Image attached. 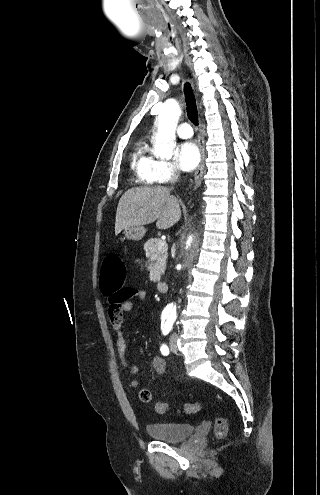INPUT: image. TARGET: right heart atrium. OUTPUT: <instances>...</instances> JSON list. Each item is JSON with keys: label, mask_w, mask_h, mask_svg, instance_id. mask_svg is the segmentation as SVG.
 <instances>
[{"label": "right heart atrium", "mask_w": 320, "mask_h": 495, "mask_svg": "<svg viewBox=\"0 0 320 495\" xmlns=\"http://www.w3.org/2000/svg\"><path fill=\"white\" fill-rule=\"evenodd\" d=\"M178 175L175 163L166 160H157L154 165L153 179L157 183H165Z\"/></svg>", "instance_id": "obj_1"}]
</instances>
